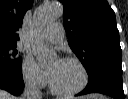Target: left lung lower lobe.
I'll return each instance as SVG.
<instances>
[{"label":"left lung lower lobe","instance_id":"0a47b994","mask_svg":"<svg viewBox=\"0 0 128 99\" xmlns=\"http://www.w3.org/2000/svg\"><path fill=\"white\" fill-rule=\"evenodd\" d=\"M87 73L88 84L77 96L102 93L115 99H124L121 60H98L87 70Z\"/></svg>","mask_w":128,"mask_h":99}]
</instances>
